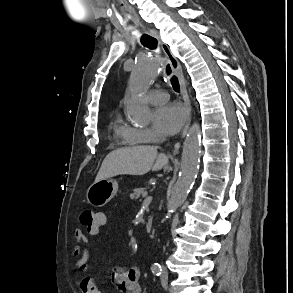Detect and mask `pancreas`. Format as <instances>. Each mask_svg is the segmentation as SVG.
<instances>
[{"instance_id":"1","label":"pancreas","mask_w":293,"mask_h":293,"mask_svg":"<svg viewBox=\"0 0 293 293\" xmlns=\"http://www.w3.org/2000/svg\"><path fill=\"white\" fill-rule=\"evenodd\" d=\"M144 192H146L144 188H135L133 193L130 194V199L137 200L141 195H143Z\"/></svg>"}]
</instances>
